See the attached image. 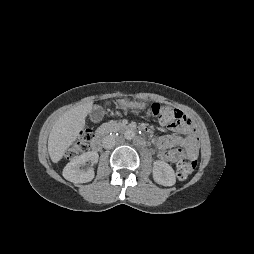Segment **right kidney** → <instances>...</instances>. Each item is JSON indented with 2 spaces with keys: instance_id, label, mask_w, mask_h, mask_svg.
I'll return each instance as SVG.
<instances>
[{
  "instance_id": "ca27d5eb",
  "label": "right kidney",
  "mask_w": 254,
  "mask_h": 254,
  "mask_svg": "<svg viewBox=\"0 0 254 254\" xmlns=\"http://www.w3.org/2000/svg\"><path fill=\"white\" fill-rule=\"evenodd\" d=\"M99 155L95 151L81 154L70 161L63 169V177L73 183H86L94 178L93 168L86 167L87 162L95 164L98 162Z\"/></svg>"
}]
</instances>
